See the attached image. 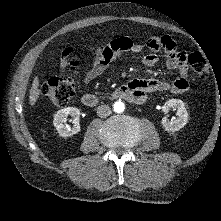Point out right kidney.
<instances>
[{
	"mask_svg": "<svg viewBox=\"0 0 221 221\" xmlns=\"http://www.w3.org/2000/svg\"><path fill=\"white\" fill-rule=\"evenodd\" d=\"M80 114V110L75 107L64 108L56 112V114L54 115L53 124L61 137H69L80 132ZM69 115L73 117V127H70L68 125L65 126L63 124L66 121V117Z\"/></svg>",
	"mask_w": 221,
	"mask_h": 221,
	"instance_id": "right-kidney-1",
	"label": "right kidney"
}]
</instances>
